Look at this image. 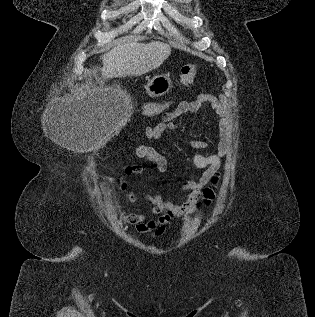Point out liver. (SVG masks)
Instances as JSON below:
<instances>
[{
  "label": "liver",
  "mask_w": 315,
  "mask_h": 317,
  "mask_svg": "<svg viewBox=\"0 0 315 317\" xmlns=\"http://www.w3.org/2000/svg\"><path fill=\"white\" fill-rule=\"evenodd\" d=\"M170 54V45L160 41L147 44L129 41L117 45L100 57L103 62L102 78L141 76L160 67ZM122 102L126 103L127 99L123 98ZM109 110L112 113L113 108Z\"/></svg>",
  "instance_id": "1"
}]
</instances>
